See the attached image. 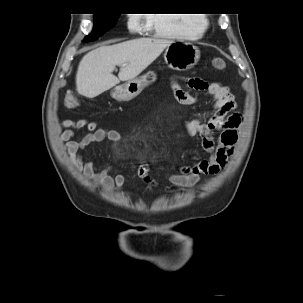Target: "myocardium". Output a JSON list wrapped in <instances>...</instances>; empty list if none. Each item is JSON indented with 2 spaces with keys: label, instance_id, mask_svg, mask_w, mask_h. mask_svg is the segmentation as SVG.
<instances>
[{
  "label": "myocardium",
  "instance_id": "f54148a6",
  "mask_svg": "<svg viewBox=\"0 0 303 303\" xmlns=\"http://www.w3.org/2000/svg\"><path fill=\"white\" fill-rule=\"evenodd\" d=\"M205 26H208V23L204 24Z\"/></svg>",
  "mask_w": 303,
  "mask_h": 303
}]
</instances>
